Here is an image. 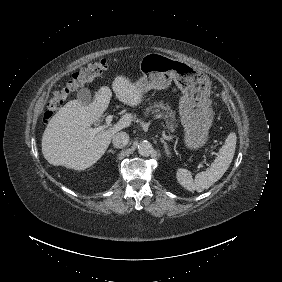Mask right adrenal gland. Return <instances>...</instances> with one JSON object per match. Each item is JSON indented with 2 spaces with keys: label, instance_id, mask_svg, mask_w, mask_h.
Returning a JSON list of instances; mask_svg holds the SVG:
<instances>
[{
  "label": "right adrenal gland",
  "instance_id": "2a0ac1e0",
  "mask_svg": "<svg viewBox=\"0 0 282 282\" xmlns=\"http://www.w3.org/2000/svg\"><path fill=\"white\" fill-rule=\"evenodd\" d=\"M108 153H112V154H115L116 153V150H113V149H109L108 151H107Z\"/></svg>",
  "mask_w": 282,
  "mask_h": 282
}]
</instances>
